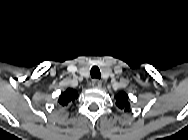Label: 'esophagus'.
Here are the masks:
<instances>
[{
  "mask_svg": "<svg viewBox=\"0 0 188 140\" xmlns=\"http://www.w3.org/2000/svg\"><path fill=\"white\" fill-rule=\"evenodd\" d=\"M92 86L95 87V88H100L102 86V82L98 79H94L92 81Z\"/></svg>",
  "mask_w": 188,
  "mask_h": 140,
  "instance_id": "esophagus-1",
  "label": "esophagus"
}]
</instances>
